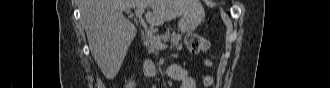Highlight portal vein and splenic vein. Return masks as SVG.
<instances>
[{
    "label": "portal vein and splenic vein",
    "instance_id": "obj_1",
    "mask_svg": "<svg viewBox=\"0 0 330 88\" xmlns=\"http://www.w3.org/2000/svg\"><path fill=\"white\" fill-rule=\"evenodd\" d=\"M144 13V10L142 9H137L135 11V15L136 18H138L140 25L144 28L147 36L153 41L156 49L158 50H162V49H166L167 48V44H162L159 41H156L155 35L153 34V32L147 27V24L145 23V21L142 18V15Z\"/></svg>",
    "mask_w": 330,
    "mask_h": 88
}]
</instances>
